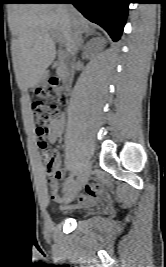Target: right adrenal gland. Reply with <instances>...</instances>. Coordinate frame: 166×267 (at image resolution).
I'll list each match as a JSON object with an SVG mask.
<instances>
[{
	"label": "right adrenal gland",
	"mask_w": 166,
	"mask_h": 267,
	"mask_svg": "<svg viewBox=\"0 0 166 267\" xmlns=\"http://www.w3.org/2000/svg\"><path fill=\"white\" fill-rule=\"evenodd\" d=\"M95 34L96 33L93 30L90 29L89 31L86 32L85 38L88 37V36H90V35H95ZM83 42H84V39L82 40V44H83Z\"/></svg>",
	"instance_id": "right-adrenal-gland-1"
}]
</instances>
